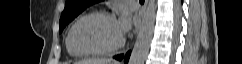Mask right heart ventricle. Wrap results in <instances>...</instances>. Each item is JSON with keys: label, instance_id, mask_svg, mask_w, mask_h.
I'll use <instances>...</instances> for the list:
<instances>
[{"label": "right heart ventricle", "instance_id": "obj_1", "mask_svg": "<svg viewBox=\"0 0 242 64\" xmlns=\"http://www.w3.org/2000/svg\"><path fill=\"white\" fill-rule=\"evenodd\" d=\"M71 30V29H70ZM69 34H70V31L66 37V47H67V51L68 53L71 55V56H74V57H79L81 56V54H79L78 52H76L73 47L71 46L70 44V40H69Z\"/></svg>", "mask_w": 242, "mask_h": 64}]
</instances>
